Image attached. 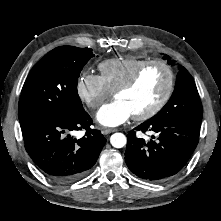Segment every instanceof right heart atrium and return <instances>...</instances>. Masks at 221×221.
Listing matches in <instances>:
<instances>
[{
  "mask_svg": "<svg viewBox=\"0 0 221 221\" xmlns=\"http://www.w3.org/2000/svg\"><path fill=\"white\" fill-rule=\"evenodd\" d=\"M75 87L79 99L92 109L99 108L112 95L100 75L89 72L78 77Z\"/></svg>",
  "mask_w": 221,
  "mask_h": 221,
  "instance_id": "d8ad5b80",
  "label": "right heart atrium"
}]
</instances>
